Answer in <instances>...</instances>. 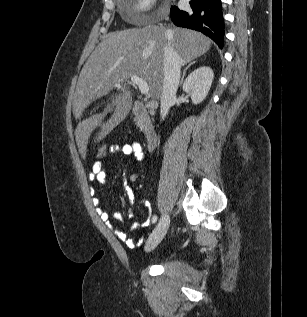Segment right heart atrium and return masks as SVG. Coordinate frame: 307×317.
Listing matches in <instances>:
<instances>
[{
	"label": "right heart atrium",
	"instance_id": "right-heart-atrium-1",
	"mask_svg": "<svg viewBox=\"0 0 307 317\" xmlns=\"http://www.w3.org/2000/svg\"><path fill=\"white\" fill-rule=\"evenodd\" d=\"M156 0H134L129 12L134 19L145 18L154 13Z\"/></svg>",
	"mask_w": 307,
	"mask_h": 317
}]
</instances>
